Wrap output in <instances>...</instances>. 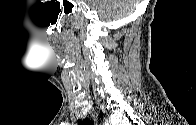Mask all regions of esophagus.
<instances>
[{"label":"esophagus","instance_id":"34e87169","mask_svg":"<svg viewBox=\"0 0 196 125\" xmlns=\"http://www.w3.org/2000/svg\"><path fill=\"white\" fill-rule=\"evenodd\" d=\"M103 125H109L108 121L105 119Z\"/></svg>","mask_w":196,"mask_h":125}]
</instances>
